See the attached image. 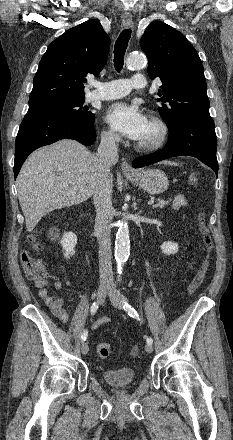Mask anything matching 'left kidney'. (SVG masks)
Listing matches in <instances>:
<instances>
[{
  "instance_id": "obj_1",
  "label": "left kidney",
  "mask_w": 233,
  "mask_h": 440,
  "mask_svg": "<svg viewBox=\"0 0 233 440\" xmlns=\"http://www.w3.org/2000/svg\"><path fill=\"white\" fill-rule=\"evenodd\" d=\"M178 244L177 243H174V242H171V241H168V242H164L162 245H161V250H162V253H164V254H166V255H170V254H175V253H177L178 252Z\"/></svg>"
}]
</instances>
